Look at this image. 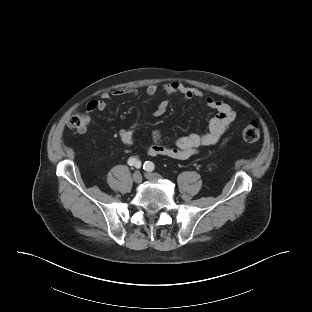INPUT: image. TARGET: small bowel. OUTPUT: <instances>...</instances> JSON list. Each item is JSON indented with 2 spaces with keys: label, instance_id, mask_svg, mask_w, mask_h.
Masks as SVG:
<instances>
[{
  "label": "small bowel",
  "instance_id": "1",
  "mask_svg": "<svg viewBox=\"0 0 312 312\" xmlns=\"http://www.w3.org/2000/svg\"><path fill=\"white\" fill-rule=\"evenodd\" d=\"M162 89L169 96L181 95L187 101L196 98L203 99L207 107L214 110L216 115L211 119L206 133L180 137L172 146L164 144L161 132L159 130H154L152 133L153 143L146 148L150 156H166L178 160L188 159L196 155L202 148L217 143L235 119V112L230 105L216 99L203 90L188 87L177 81L163 84ZM157 91L158 86L156 84H150L146 88V94L148 96H154ZM136 93V89L115 90L111 93H103L99 99L92 100L87 104L86 111L87 113L103 111L106 109L108 101L112 98H119L124 95H135ZM168 106L169 100L165 99L160 102L154 111V116H162L166 112ZM135 128L136 124H133L119 131V138L125 145L131 146L135 143Z\"/></svg>",
  "mask_w": 312,
  "mask_h": 312
}]
</instances>
